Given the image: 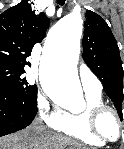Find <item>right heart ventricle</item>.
Segmentation results:
<instances>
[{
    "label": "right heart ventricle",
    "instance_id": "right-heart-ventricle-1",
    "mask_svg": "<svg viewBox=\"0 0 124 149\" xmlns=\"http://www.w3.org/2000/svg\"><path fill=\"white\" fill-rule=\"evenodd\" d=\"M87 107L81 112L66 113L57 131L66 136L92 147H103L105 143L96 138L90 131L87 111L91 106L103 104L100 92H85Z\"/></svg>",
    "mask_w": 124,
    "mask_h": 149
}]
</instances>
